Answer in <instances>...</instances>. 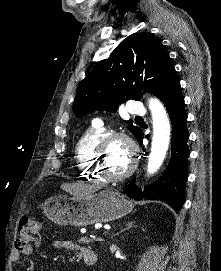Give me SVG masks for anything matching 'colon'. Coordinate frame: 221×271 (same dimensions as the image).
I'll list each match as a JSON object with an SVG mask.
<instances>
[{
  "label": "colon",
  "mask_w": 221,
  "mask_h": 271,
  "mask_svg": "<svg viewBox=\"0 0 221 271\" xmlns=\"http://www.w3.org/2000/svg\"><path fill=\"white\" fill-rule=\"evenodd\" d=\"M42 227L43 220L41 218H23L20 222V227L15 240L16 249L23 251L31 244L35 243L39 238Z\"/></svg>",
  "instance_id": "1"
}]
</instances>
